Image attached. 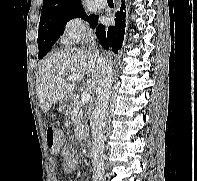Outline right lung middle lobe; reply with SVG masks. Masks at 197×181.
Returning <instances> with one entry per match:
<instances>
[{
    "mask_svg": "<svg viewBox=\"0 0 197 181\" xmlns=\"http://www.w3.org/2000/svg\"><path fill=\"white\" fill-rule=\"evenodd\" d=\"M80 17L88 21L92 27H95L98 23V16H87L83 8L42 17L38 31V58L42 59L51 50L53 44L58 40L66 23L70 21V19Z\"/></svg>",
    "mask_w": 197,
    "mask_h": 181,
    "instance_id": "dd1d6c3e",
    "label": "right lung middle lobe"
}]
</instances>
